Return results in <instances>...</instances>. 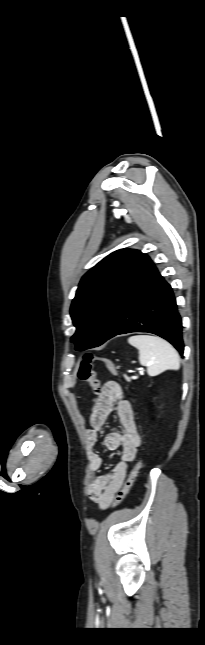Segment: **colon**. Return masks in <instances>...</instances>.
I'll return each mask as SVG.
<instances>
[{"label": "colon", "instance_id": "5ec220e1", "mask_svg": "<svg viewBox=\"0 0 205 645\" xmlns=\"http://www.w3.org/2000/svg\"><path fill=\"white\" fill-rule=\"evenodd\" d=\"M95 361H98L101 364H103L114 375H117L118 371L115 364L109 359H106L103 357H97L91 353H88L83 357L78 367L77 376L81 381L86 382L89 385V387L93 390L95 395H99L101 392L100 382L93 369V363ZM109 384L111 388H118V384L116 382H109ZM142 465H143V461L139 460L132 468L127 480L125 481L124 485L119 490V492L117 493L113 501L112 506L114 508L119 506L121 502L124 500V498L126 497V495L129 493Z\"/></svg>", "mask_w": 205, "mask_h": 645}]
</instances>
